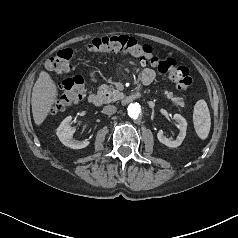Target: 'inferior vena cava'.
Here are the masks:
<instances>
[{"label": "inferior vena cava", "instance_id": "1", "mask_svg": "<svg viewBox=\"0 0 238 238\" xmlns=\"http://www.w3.org/2000/svg\"><path fill=\"white\" fill-rule=\"evenodd\" d=\"M116 111L117 108L114 105H107L103 108V113L106 115H113L114 113H116Z\"/></svg>", "mask_w": 238, "mask_h": 238}]
</instances>
